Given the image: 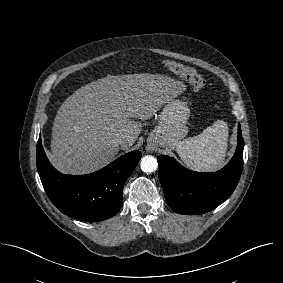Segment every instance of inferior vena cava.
Wrapping results in <instances>:
<instances>
[{"mask_svg":"<svg viewBox=\"0 0 283 283\" xmlns=\"http://www.w3.org/2000/svg\"><path fill=\"white\" fill-rule=\"evenodd\" d=\"M115 142H116L117 144H120V145L124 144V143L126 142V136H124V135L118 136V137L115 139Z\"/></svg>","mask_w":283,"mask_h":283,"instance_id":"602c4592","label":"inferior vena cava"}]
</instances>
